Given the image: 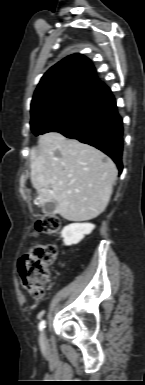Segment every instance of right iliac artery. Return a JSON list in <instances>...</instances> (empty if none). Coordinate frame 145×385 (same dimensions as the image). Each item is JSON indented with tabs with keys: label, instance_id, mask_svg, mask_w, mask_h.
<instances>
[{
	"label": "right iliac artery",
	"instance_id": "obj_1",
	"mask_svg": "<svg viewBox=\"0 0 145 385\" xmlns=\"http://www.w3.org/2000/svg\"><path fill=\"white\" fill-rule=\"evenodd\" d=\"M45 328V321L42 320L39 324V329L42 331Z\"/></svg>",
	"mask_w": 145,
	"mask_h": 385
}]
</instances>
